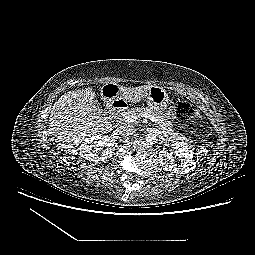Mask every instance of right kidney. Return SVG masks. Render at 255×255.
<instances>
[{
  "label": "right kidney",
  "instance_id": "1",
  "mask_svg": "<svg viewBox=\"0 0 255 255\" xmlns=\"http://www.w3.org/2000/svg\"><path fill=\"white\" fill-rule=\"evenodd\" d=\"M117 146V141L108 136L96 135L86 138L81 144L80 156L88 161L92 162H103L108 158H111L115 148ZM102 147L106 149L98 154V150Z\"/></svg>",
  "mask_w": 255,
  "mask_h": 255
}]
</instances>
